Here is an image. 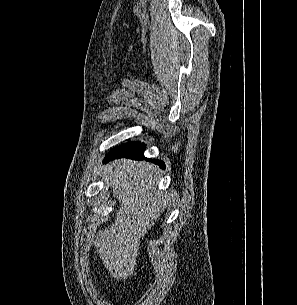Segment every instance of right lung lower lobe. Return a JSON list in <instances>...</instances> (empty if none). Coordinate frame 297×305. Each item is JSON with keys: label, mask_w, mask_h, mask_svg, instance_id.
Returning a JSON list of instances; mask_svg holds the SVG:
<instances>
[{"label": "right lung lower lobe", "mask_w": 297, "mask_h": 305, "mask_svg": "<svg viewBox=\"0 0 297 305\" xmlns=\"http://www.w3.org/2000/svg\"><path fill=\"white\" fill-rule=\"evenodd\" d=\"M145 150V145L137 142L131 146L128 147H117L112 149L108 155H106L104 159V163L111 161L113 159H118V158H130V159H142L145 158L143 155V152ZM151 162H154L158 164L160 167L165 168L164 162L161 160H155V159H148Z\"/></svg>", "instance_id": "obj_1"}]
</instances>
